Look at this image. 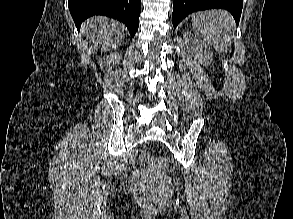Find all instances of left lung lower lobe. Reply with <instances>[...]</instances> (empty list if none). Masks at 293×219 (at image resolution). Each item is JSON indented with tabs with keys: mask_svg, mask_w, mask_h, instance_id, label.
<instances>
[{
	"mask_svg": "<svg viewBox=\"0 0 293 219\" xmlns=\"http://www.w3.org/2000/svg\"><path fill=\"white\" fill-rule=\"evenodd\" d=\"M243 0H174L172 23L176 27L186 16L195 11L211 8L228 10L239 23Z\"/></svg>",
	"mask_w": 293,
	"mask_h": 219,
	"instance_id": "obj_1",
	"label": "left lung lower lobe"
}]
</instances>
